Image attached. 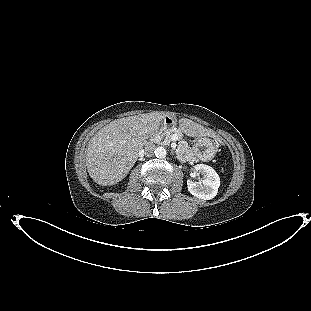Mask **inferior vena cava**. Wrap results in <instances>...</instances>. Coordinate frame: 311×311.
Listing matches in <instances>:
<instances>
[{"mask_svg": "<svg viewBox=\"0 0 311 311\" xmlns=\"http://www.w3.org/2000/svg\"><path fill=\"white\" fill-rule=\"evenodd\" d=\"M155 149V145L152 143H147L144 147V154L148 157L153 155V151Z\"/></svg>", "mask_w": 311, "mask_h": 311, "instance_id": "obj_1", "label": "inferior vena cava"}]
</instances>
